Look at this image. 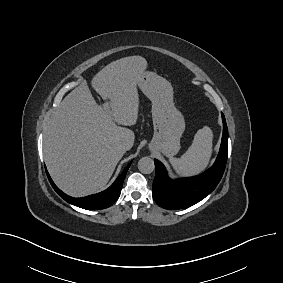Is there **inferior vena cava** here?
Instances as JSON below:
<instances>
[{
    "label": "inferior vena cava",
    "mask_w": 283,
    "mask_h": 283,
    "mask_svg": "<svg viewBox=\"0 0 283 283\" xmlns=\"http://www.w3.org/2000/svg\"><path fill=\"white\" fill-rule=\"evenodd\" d=\"M122 147H123L124 149H126V150L128 149V145H127L126 143H123V144H122Z\"/></svg>",
    "instance_id": "obj_1"
}]
</instances>
